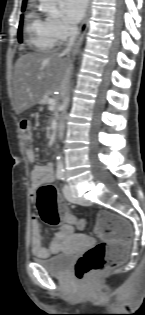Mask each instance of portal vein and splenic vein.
Segmentation results:
<instances>
[{
  "instance_id": "obj_1",
  "label": "portal vein and splenic vein",
  "mask_w": 145,
  "mask_h": 315,
  "mask_svg": "<svg viewBox=\"0 0 145 315\" xmlns=\"http://www.w3.org/2000/svg\"><path fill=\"white\" fill-rule=\"evenodd\" d=\"M55 100L54 99H49V104H54Z\"/></svg>"
}]
</instances>
